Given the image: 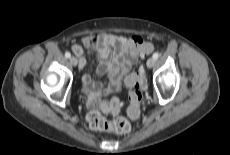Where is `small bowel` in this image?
<instances>
[{"label": "small bowel", "mask_w": 230, "mask_h": 155, "mask_svg": "<svg viewBox=\"0 0 230 155\" xmlns=\"http://www.w3.org/2000/svg\"><path fill=\"white\" fill-rule=\"evenodd\" d=\"M137 37H124L111 33H102L86 36L82 44H74L72 52L76 55L79 68L83 70L87 64L85 52H95L99 64L96 68L97 76H107V85L94 80L90 74L84 72L82 82L88 96L90 108H98L105 113H116L109 108V101L100 100L99 97L107 92L118 91L121 88L122 78L127 74L139 55L132 49L133 40ZM130 86L127 78L124 81Z\"/></svg>", "instance_id": "small-bowel-1"}]
</instances>
